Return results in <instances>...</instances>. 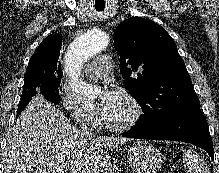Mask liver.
Segmentation results:
<instances>
[{"label":"liver","instance_id":"liver-1","mask_svg":"<svg viewBox=\"0 0 219 173\" xmlns=\"http://www.w3.org/2000/svg\"><path fill=\"white\" fill-rule=\"evenodd\" d=\"M122 137H86L63 112L41 95L25 107L3 151L4 173H107V148Z\"/></svg>","mask_w":219,"mask_h":173}]
</instances>
